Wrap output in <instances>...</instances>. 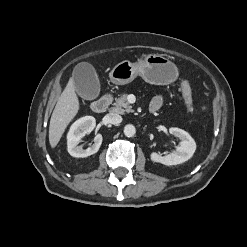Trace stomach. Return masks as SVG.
<instances>
[{"instance_id": "1", "label": "stomach", "mask_w": 247, "mask_h": 247, "mask_svg": "<svg viewBox=\"0 0 247 247\" xmlns=\"http://www.w3.org/2000/svg\"><path fill=\"white\" fill-rule=\"evenodd\" d=\"M137 76L150 84L167 85L177 79L178 69L168 58L147 54L137 63L128 60L118 63L109 74L111 82L116 85L128 84Z\"/></svg>"}]
</instances>
